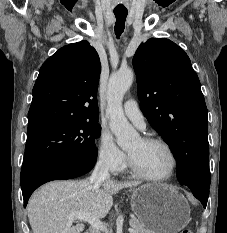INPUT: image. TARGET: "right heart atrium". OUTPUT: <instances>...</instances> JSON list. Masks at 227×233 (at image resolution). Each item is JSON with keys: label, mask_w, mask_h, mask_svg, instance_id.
Masks as SVG:
<instances>
[{"label": "right heart atrium", "mask_w": 227, "mask_h": 233, "mask_svg": "<svg viewBox=\"0 0 227 233\" xmlns=\"http://www.w3.org/2000/svg\"><path fill=\"white\" fill-rule=\"evenodd\" d=\"M97 160L106 170L121 172L127 163L126 154L118 147L113 136L106 130H101L97 140Z\"/></svg>", "instance_id": "1"}]
</instances>
